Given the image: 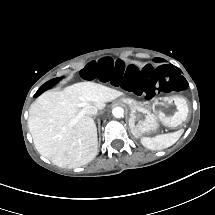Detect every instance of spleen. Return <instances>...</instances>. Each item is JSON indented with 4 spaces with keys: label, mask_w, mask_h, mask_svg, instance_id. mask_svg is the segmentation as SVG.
<instances>
[{
    "label": "spleen",
    "mask_w": 215,
    "mask_h": 215,
    "mask_svg": "<svg viewBox=\"0 0 215 215\" xmlns=\"http://www.w3.org/2000/svg\"><path fill=\"white\" fill-rule=\"evenodd\" d=\"M183 130L173 133L157 135L153 138L142 137L141 144L150 150H162L175 144L181 137Z\"/></svg>",
    "instance_id": "3e777b00"
}]
</instances>
